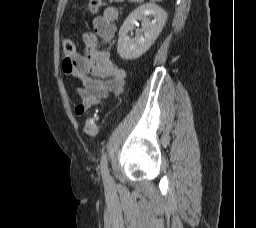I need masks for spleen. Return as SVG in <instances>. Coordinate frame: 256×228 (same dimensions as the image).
<instances>
[{
    "mask_svg": "<svg viewBox=\"0 0 256 228\" xmlns=\"http://www.w3.org/2000/svg\"><path fill=\"white\" fill-rule=\"evenodd\" d=\"M151 1H153V2H155V1H157V2H161L162 0H151Z\"/></svg>",
    "mask_w": 256,
    "mask_h": 228,
    "instance_id": "1",
    "label": "spleen"
}]
</instances>
